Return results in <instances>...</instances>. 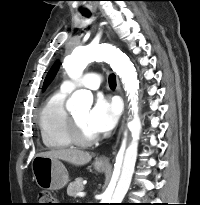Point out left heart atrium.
<instances>
[{
  "mask_svg": "<svg viewBox=\"0 0 200 205\" xmlns=\"http://www.w3.org/2000/svg\"><path fill=\"white\" fill-rule=\"evenodd\" d=\"M119 114L120 108L117 102L99 96L88 113L87 123L96 134L106 133L114 128Z\"/></svg>",
  "mask_w": 200,
  "mask_h": 205,
  "instance_id": "obj_1",
  "label": "left heart atrium"
}]
</instances>
